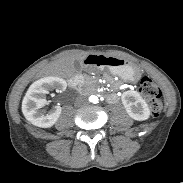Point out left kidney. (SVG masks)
I'll use <instances>...</instances> for the list:
<instances>
[{"label":"left kidney","mask_w":183,"mask_h":183,"mask_svg":"<svg viewBox=\"0 0 183 183\" xmlns=\"http://www.w3.org/2000/svg\"><path fill=\"white\" fill-rule=\"evenodd\" d=\"M121 100L126 112L132 119L144 121L149 118L150 109L148 104L137 91H125L122 94Z\"/></svg>","instance_id":"obj_1"}]
</instances>
